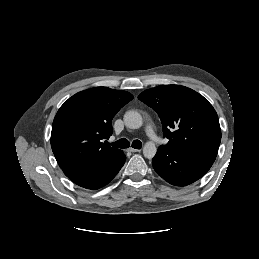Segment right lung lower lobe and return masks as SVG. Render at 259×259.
Wrapping results in <instances>:
<instances>
[{
	"label": "right lung lower lobe",
	"mask_w": 259,
	"mask_h": 259,
	"mask_svg": "<svg viewBox=\"0 0 259 259\" xmlns=\"http://www.w3.org/2000/svg\"><path fill=\"white\" fill-rule=\"evenodd\" d=\"M126 160L123 151L104 159L88 168L65 171L75 184L87 189H99L108 184L122 168Z\"/></svg>",
	"instance_id": "right-lung-lower-lobe-1"
}]
</instances>
